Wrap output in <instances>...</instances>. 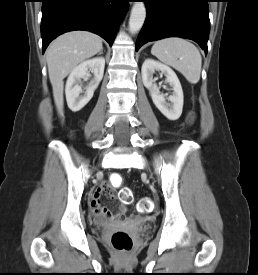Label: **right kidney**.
<instances>
[{
  "instance_id": "obj_1",
  "label": "right kidney",
  "mask_w": 258,
  "mask_h": 275,
  "mask_svg": "<svg viewBox=\"0 0 258 275\" xmlns=\"http://www.w3.org/2000/svg\"><path fill=\"white\" fill-rule=\"evenodd\" d=\"M104 67L105 59L97 57L84 61L71 71L66 82L65 94L68 107L73 112L81 110L91 100L94 91L103 78ZM88 70L94 73V80L86 87L84 95H80L82 93L81 79L88 75Z\"/></svg>"
}]
</instances>
